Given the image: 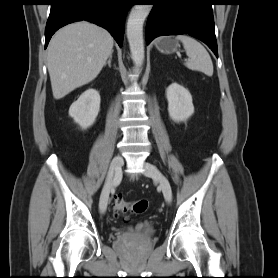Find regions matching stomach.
Returning <instances> with one entry per match:
<instances>
[{"label": "stomach", "instance_id": "1", "mask_svg": "<svg viewBox=\"0 0 278 278\" xmlns=\"http://www.w3.org/2000/svg\"><path fill=\"white\" fill-rule=\"evenodd\" d=\"M156 48L164 54H171L179 48L178 40L173 36L161 37L155 42Z\"/></svg>", "mask_w": 278, "mask_h": 278}]
</instances>
